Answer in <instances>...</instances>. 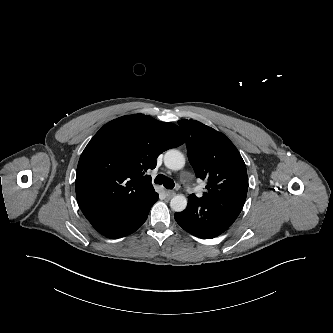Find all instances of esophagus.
<instances>
[{
	"label": "esophagus",
	"mask_w": 333,
	"mask_h": 333,
	"mask_svg": "<svg viewBox=\"0 0 333 333\" xmlns=\"http://www.w3.org/2000/svg\"><path fill=\"white\" fill-rule=\"evenodd\" d=\"M166 195H167V198H172L173 196H175L176 195V192L175 191H173V190H167L166 191Z\"/></svg>",
	"instance_id": "34e87169"
}]
</instances>
